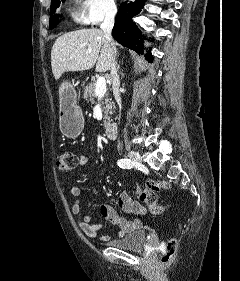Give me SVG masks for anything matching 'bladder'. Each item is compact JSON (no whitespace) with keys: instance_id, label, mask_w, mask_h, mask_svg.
I'll list each match as a JSON object with an SVG mask.
<instances>
[{"instance_id":"1","label":"bladder","mask_w":240,"mask_h":281,"mask_svg":"<svg viewBox=\"0 0 240 281\" xmlns=\"http://www.w3.org/2000/svg\"><path fill=\"white\" fill-rule=\"evenodd\" d=\"M147 235L144 229H137L123 237L111 240L108 244L122 250H139L146 242Z\"/></svg>"}]
</instances>
